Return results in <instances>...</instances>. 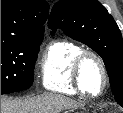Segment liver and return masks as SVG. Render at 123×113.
<instances>
[{
	"label": "liver",
	"instance_id": "obj_1",
	"mask_svg": "<svg viewBox=\"0 0 123 113\" xmlns=\"http://www.w3.org/2000/svg\"><path fill=\"white\" fill-rule=\"evenodd\" d=\"M75 103L60 95H40L22 99L1 97V113H59Z\"/></svg>",
	"mask_w": 123,
	"mask_h": 113
}]
</instances>
